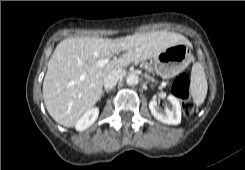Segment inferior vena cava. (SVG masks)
Instances as JSON below:
<instances>
[{
    "mask_svg": "<svg viewBox=\"0 0 245 170\" xmlns=\"http://www.w3.org/2000/svg\"><path fill=\"white\" fill-rule=\"evenodd\" d=\"M124 75V71L110 72L107 74L103 81L105 89H112Z\"/></svg>",
    "mask_w": 245,
    "mask_h": 170,
    "instance_id": "inferior-vena-cava-1",
    "label": "inferior vena cava"
}]
</instances>
